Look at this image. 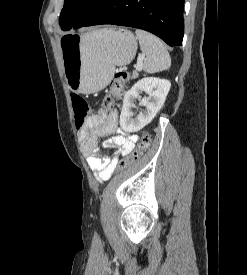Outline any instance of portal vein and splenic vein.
<instances>
[{
	"instance_id": "18ae733b",
	"label": "portal vein and splenic vein",
	"mask_w": 247,
	"mask_h": 275,
	"mask_svg": "<svg viewBox=\"0 0 247 275\" xmlns=\"http://www.w3.org/2000/svg\"><path fill=\"white\" fill-rule=\"evenodd\" d=\"M144 60V55L138 58L137 64L135 65L136 70L141 71L142 70V62Z\"/></svg>"
}]
</instances>
